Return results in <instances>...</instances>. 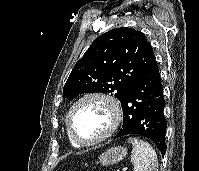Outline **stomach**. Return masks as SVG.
Listing matches in <instances>:
<instances>
[{
	"instance_id": "stomach-1",
	"label": "stomach",
	"mask_w": 199,
	"mask_h": 171,
	"mask_svg": "<svg viewBox=\"0 0 199 171\" xmlns=\"http://www.w3.org/2000/svg\"><path fill=\"white\" fill-rule=\"evenodd\" d=\"M127 155V149L121 146L112 147L99 156V161L103 166L115 164Z\"/></svg>"
}]
</instances>
